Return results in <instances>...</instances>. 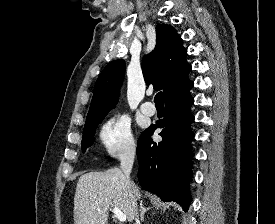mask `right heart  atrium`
<instances>
[{"label": "right heart atrium", "mask_w": 275, "mask_h": 224, "mask_svg": "<svg viewBox=\"0 0 275 224\" xmlns=\"http://www.w3.org/2000/svg\"><path fill=\"white\" fill-rule=\"evenodd\" d=\"M99 141L104 151L112 157H130L136 151L130 123L123 115L112 116L102 125Z\"/></svg>", "instance_id": "obj_1"}]
</instances>
